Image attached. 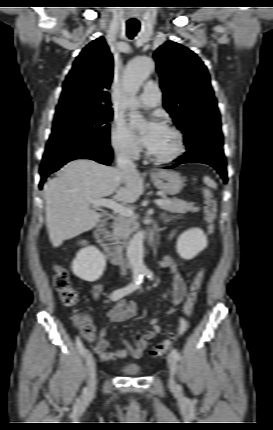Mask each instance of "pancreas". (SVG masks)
<instances>
[{
  "instance_id": "pancreas-1",
  "label": "pancreas",
  "mask_w": 273,
  "mask_h": 430,
  "mask_svg": "<svg viewBox=\"0 0 273 430\" xmlns=\"http://www.w3.org/2000/svg\"><path fill=\"white\" fill-rule=\"evenodd\" d=\"M164 200L168 201L169 204L161 206L162 209L175 212V213H186V212H198L199 207H195L194 203H188L183 200L169 199L164 197ZM137 225L136 216H122L118 215L114 222V236L117 238L127 237L133 230L134 226Z\"/></svg>"
}]
</instances>
